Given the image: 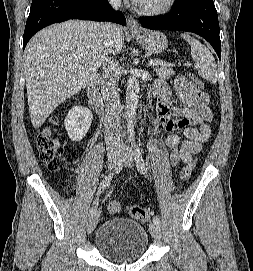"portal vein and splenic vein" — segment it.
I'll list each match as a JSON object with an SVG mask.
<instances>
[{
	"label": "portal vein and splenic vein",
	"mask_w": 253,
	"mask_h": 271,
	"mask_svg": "<svg viewBox=\"0 0 253 271\" xmlns=\"http://www.w3.org/2000/svg\"><path fill=\"white\" fill-rule=\"evenodd\" d=\"M165 63L163 61L155 60L150 61L149 66H156V65H164ZM169 66H174V64H168Z\"/></svg>",
	"instance_id": "portal-vein-and-splenic-vein-1"
}]
</instances>
